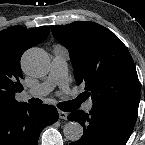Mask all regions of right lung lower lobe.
<instances>
[{"mask_svg":"<svg viewBox=\"0 0 145 145\" xmlns=\"http://www.w3.org/2000/svg\"><path fill=\"white\" fill-rule=\"evenodd\" d=\"M57 120L54 106L24 103L0 114V145H38L42 129Z\"/></svg>","mask_w":145,"mask_h":145,"instance_id":"98d812e1","label":"right lung lower lobe"}]
</instances>
